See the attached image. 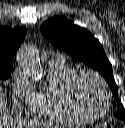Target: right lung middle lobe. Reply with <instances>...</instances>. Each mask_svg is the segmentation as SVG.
<instances>
[{"label": "right lung middle lobe", "mask_w": 125, "mask_h": 128, "mask_svg": "<svg viewBox=\"0 0 125 128\" xmlns=\"http://www.w3.org/2000/svg\"><path fill=\"white\" fill-rule=\"evenodd\" d=\"M13 71L12 65H2L0 64V79L6 80L9 78Z\"/></svg>", "instance_id": "right-lung-middle-lobe-1"}]
</instances>
